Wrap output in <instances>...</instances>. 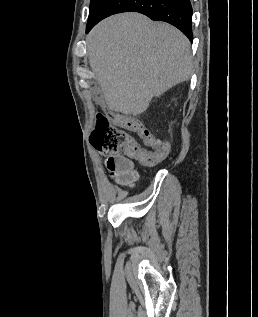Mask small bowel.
<instances>
[{"mask_svg":"<svg viewBox=\"0 0 258 317\" xmlns=\"http://www.w3.org/2000/svg\"><path fill=\"white\" fill-rule=\"evenodd\" d=\"M116 124L137 133L145 145L156 152H161L164 155V159L169 155L170 144L156 137L139 119L120 115ZM106 166L119 185L132 187L135 184L138 175L133 169V164L130 160L122 156L109 157L106 161Z\"/></svg>","mask_w":258,"mask_h":317,"instance_id":"small-bowel-1","label":"small bowel"}]
</instances>
